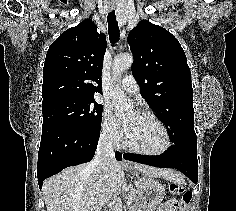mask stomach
<instances>
[{
	"mask_svg": "<svg viewBox=\"0 0 236 211\" xmlns=\"http://www.w3.org/2000/svg\"><path fill=\"white\" fill-rule=\"evenodd\" d=\"M138 181L137 195L142 211H155L164 198V187L151 177L138 178Z\"/></svg>",
	"mask_w": 236,
	"mask_h": 211,
	"instance_id": "0dacf381",
	"label": "stomach"
}]
</instances>
